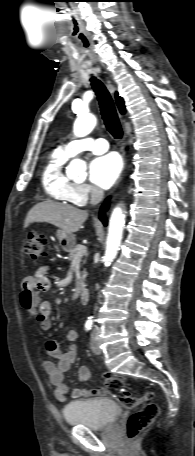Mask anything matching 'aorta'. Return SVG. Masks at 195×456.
I'll use <instances>...</instances> for the list:
<instances>
[{
  "mask_svg": "<svg viewBox=\"0 0 195 456\" xmlns=\"http://www.w3.org/2000/svg\"><path fill=\"white\" fill-rule=\"evenodd\" d=\"M96 122L97 120L94 115H79L74 123V134L77 137H84L88 135L94 129ZM86 169V163L83 160L73 159L67 167V173L71 177H82L86 175ZM124 223L125 220L123 211L120 207H116L113 210L109 221L106 251L104 256L105 266H109L117 255L122 240Z\"/></svg>",
  "mask_w": 195,
  "mask_h": 456,
  "instance_id": "1",
  "label": "aorta"
}]
</instances>
